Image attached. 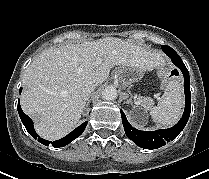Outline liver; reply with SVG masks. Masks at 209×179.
Here are the masks:
<instances>
[{"mask_svg":"<svg viewBox=\"0 0 209 179\" xmlns=\"http://www.w3.org/2000/svg\"><path fill=\"white\" fill-rule=\"evenodd\" d=\"M163 63L162 53L113 37L50 47L23 74L21 107L41 137L57 140L79 122L86 105L85 89L106 81L112 67L145 72Z\"/></svg>","mask_w":209,"mask_h":179,"instance_id":"1","label":"liver"}]
</instances>
